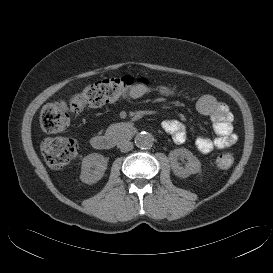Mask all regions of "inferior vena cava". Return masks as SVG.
<instances>
[{
  "mask_svg": "<svg viewBox=\"0 0 273 273\" xmlns=\"http://www.w3.org/2000/svg\"><path fill=\"white\" fill-rule=\"evenodd\" d=\"M118 147L120 148L121 152H128L133 148V143L128 140H124L119 143Z\"/></svg>",
  "mask_w": 273,
  "mask_h": 273,
  "instance_id": "602c4592",
  "label": "inferior vena cava"
}]
</instances>
